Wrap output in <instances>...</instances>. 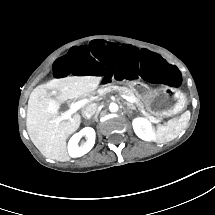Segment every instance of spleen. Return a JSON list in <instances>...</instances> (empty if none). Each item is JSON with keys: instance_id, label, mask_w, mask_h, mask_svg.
<instances>
[{"instance_id": "3e777b00", "label": "spleen", "mask_w": 215, "mask_h": 215, "mask_svg": "<svg viewBox=\"0 0 215 215\" xmlns=\"http://www.w3.org/2000/svg\"><path fill=\"white\" fill-rule=\"evenodd\" d=\"M186 111L185 113H187ZM189 120L184 118V115H181L179 118L169 120L165 125H162L155 134V139L157 142H167L175 139L180 132L183 130L185 125Z\"/></svg>"}]
</instances>
